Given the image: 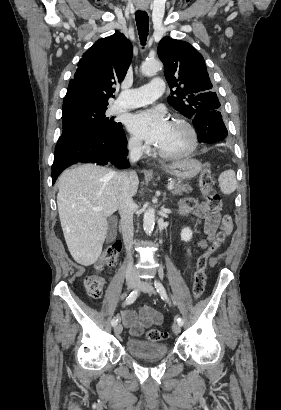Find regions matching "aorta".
<instances>
[{
    "label": "aorta",
    "instance_id": "obj_1",
    "mask_svg": "<svg viewBox=\"0 0 281 410\" xmlns=\"http://www.w3.org/2000/svg\"><path fill=\"white\" fill-rule=\"evenodd\" d=\"M162 68L161 62L157 60L145 61L141 66V73L145 76H153ZM155 225V209L149 207L143 217V228L146 234L150 235L153 232Z\"/></svg>",
    "mask_w": 281,
    "mask_h": 410
}]
</instances>
